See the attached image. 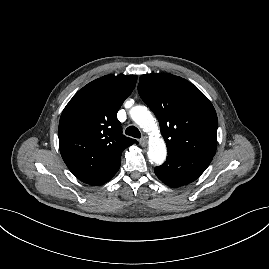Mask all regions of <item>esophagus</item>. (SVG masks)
<instances>
[{
    "instance_id": "obj_1",
    "label": "esophagus",
    "mask_w": 269,
    "mask_h": 269,
    "mask_svg": "<svg viewBox=\"0 0 269 269\" xmlns=\"http://www.w3.org/2000/svg\"><path fill=\"white\" fill-rule=\"evenodd\" d=\"M140 144H141V146H143V147L147 146V144H148V139H147L146 136H143V137L140 139Z\"/></svg>"
}]
</instances>
